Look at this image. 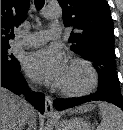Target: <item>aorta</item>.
<instances>
[{"label": "aorta", "instance_id": "aorta-1", "mask_svg": "<svg viewBox=\"0 0 123 130\" xmlns=\"http://www.w3.org/2000/svg\"><path fill=\"white\" fill-rule=\"evenodd\" d=\"M42 15L47 19L60 18L62 16V9L58 3H50L44 8Z\"/></svg>", "mask_w": 123, "mask_h": 130}]
</instances>
